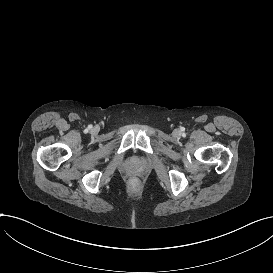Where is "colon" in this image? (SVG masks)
<instances>
[{
	"label": "colon",
	"instance_id": "5ec220e1",
	"mask_svg": "<svg viewBox=\"0 0 273 273\" xmlns=\"http://www.w3.org/2000/svg\"><path fill=\"white\" fill-rule=\"evenodd\" d=\"M142 185V181L140 178L133 176L127 182V188L129 191L137 193L140 191Z\"/></svg>",
	"mask_w": 273,
	"mask_h": 273
}]
</instances>
